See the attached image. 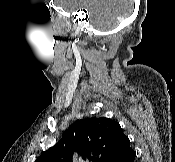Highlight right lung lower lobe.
I'll return each instance as SVG.
<instances>
[{"label": "right lung lower lobe", "instance_id": "1", "mask_svg": "<svg viewBox=\"0 0 175 162\" xmlns=\"http://www.w3.org/2000/svg\"><path fill=\"white\" fill-rule=\"evenodd\" d=\"M136 153L129 147L125 152L117 156L112 162H134Z\"/></svg>", "mask_w": 175, "mask_h": 162}]
</instances>
